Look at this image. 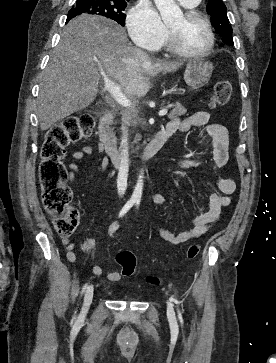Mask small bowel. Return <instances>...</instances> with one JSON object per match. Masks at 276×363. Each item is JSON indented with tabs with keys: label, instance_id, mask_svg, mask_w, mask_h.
I'll use <instances>...</instances> for the list:
<instances>
[{
	"label": "small bowel",
	"instance_id": "small-bowel-1",
	"mask_svg": "<svg viewBox=\"0 0 276 363\" xmlns=\"http://www.w3.org/2000/svg\"><path fill=\"white\" fill-rule=\"evenodd\" d=\"M207 127V140L211 143V164L215 169L223 168L229 159V134L225 126L219 123L211 122V115L207 111H198L184 120L174 119L160 132L167 133L169 136L175 132H183L191 127ZM93 155V149L90 146H84L81 150L74 151L71 154L73 160H82L86 156ZM106 164L104 159L99 158L98 167L102 169ZM199 159H186L177 164L178 168H196L202 166ZM70 170L69 179L74 181L79 174V166L71 162L68 164ZM217 188L219 192H213L209 196V202L205 207L199 209L197 215L190 221L189 227L177 234H174L162 227L155 226L154 229L159 237L171 244H180L187 241L195 240L203 236L209 228L214 225L221 217L223 209L231 204V195L236 190V183L233 179L219 177L217 179ZM150 200L159 206L166 204V198L162 194H152ZM120 227L119 222H113L108 234L110 237L117 235ZM67 250V258L71 263L76 262V256L73 253L74 244L67 239L62 240ZM95 246V240L92 238L83 239L79 242V248L82 252L87 253ZM91 272L96 276L105 275L110 282L119 281L123 273L108 272L99 265H93ZM125 276V275H124Z\"/></svg>",
	"mask_w": 276,
	"mask_h": 363
}]
</instances>
